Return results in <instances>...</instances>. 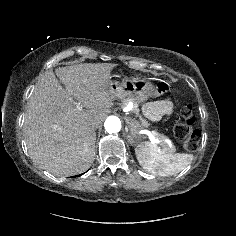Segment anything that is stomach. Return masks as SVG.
Here are the masks:
<instances>
[{"label":"stomach","mask_w":236,"mask_h":236,"mask_svg":"<svg viewBox=\"0 0 236 236\" xmlns=\"http://www.w3.org/2000/svg\"><path fill=\"white\" fill-rule=\"evenodd\" d=\"M109 89L121 99L131 100L135 104L143 103L148 100L155 92V86L147 79L139 76L125 77L121 82L111 81ZM129 141L133 144L142 139L139 130L142 126L135 120H130Z\"/></svg>","instance_id":"1"}]
</instances>
